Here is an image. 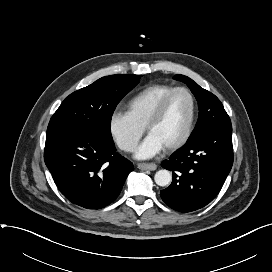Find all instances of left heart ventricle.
Instances as JSON below:
<instances>
[{
    "mask_svg": "<svg viewBox=\"0 0 272 272\" xmlns=\"http://www.w3.org/2000/svg\"><path fill=\"white\" fill-rule=\"evenodd\" d=\"M191 115V101L187 94L177 93L169 102L162 118L149 133L156 136L164 147L178 141L184 134Z\"/></svg>",
    "mask_w": 272,
    "mask_h": 272,
    "instance_id": "1",
    "label": "left heart ventricle"
}]
</instances>
